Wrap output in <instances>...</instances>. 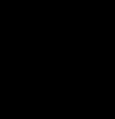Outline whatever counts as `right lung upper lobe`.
<instances>
[{
  "label": "right lung upper lobe",
  "instance_id": "cb5924a9",
  "mask_svg": "<svg viewBox=\"0 0 115 119\" xmlns=\"http://www.w3.org/2000/svg\"><path fill=\"white\" fill-rule=\"evenodd\" d=\"M58 15V9L48 4H38L29 10L0 45V67L41 57L46 49V35Z\"/></svg>",
  "mask_w": 115,
  "mask_h": 119
}]
</instances>
